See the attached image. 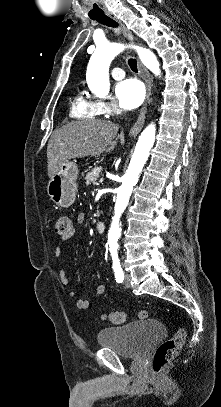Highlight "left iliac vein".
Instances as JSON below:
<instances>
[{"label": "left iliac vein", "mask_w": 221, "mask_h": 407, "mask_svg": "<svg viewBox=\"0 0 221 407\" xmlns=\"http://www.w3.org/2000/svg\"><path fill=\"white\" fill-rule=\"evenodd\" d=\"M124 284L127 288L131 287V275L129 273L124 276Z\"/></svg>", "instance_id": "obj_1"}]
</instances>
